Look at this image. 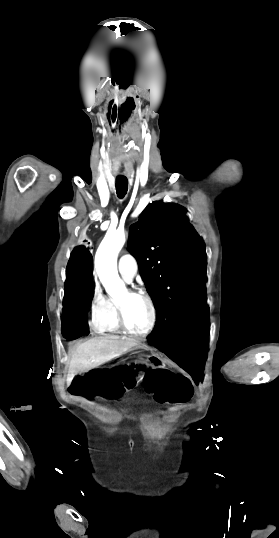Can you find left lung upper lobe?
Returning a JSON list of instances; mask_svg holds the SVG:
<instances>
[{
	"label": "left lung upper lobe",
	"mask_w": 279,
	"mask_h": 538,
	"mask_svg": "<svg viewBox=\"0 0 279 538\" xmlns=\"http://www.w3.org/2000/svg\"><path fill=\"white\" fill-rule=\"evenodd\" d=\"M128 250L155 304L150 336L173 334L206 306V251L185 209L149 204L130 227Z\"/></svg>",
	"instance_id": "left-lung-upper-lobe-1"
}]
</instances>
